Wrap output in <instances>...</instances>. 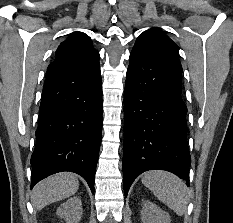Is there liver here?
I'll list each match as a JSON object with an SVG mask.
<instances>
[{
    "label": "liver",
    "mask_w": 233,
    "mask_h": 223,
    "mask_svg": "<svg viewBox=\"0 0 233 223\" xmlns=\"http://www.w3.org/2000/svg\"><path fill=\"white\" fill-rule=\"evenodd\" d=\"M79 189V181L75 173H56L39 181L32 191V203L42 209L48 203L70 197Z\"/></svg>",
    "instance_id": "liver-1"
}]
</instances>
